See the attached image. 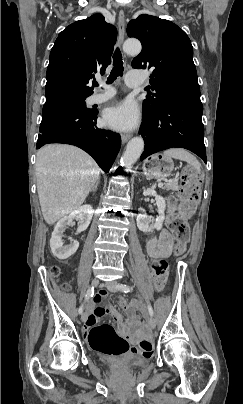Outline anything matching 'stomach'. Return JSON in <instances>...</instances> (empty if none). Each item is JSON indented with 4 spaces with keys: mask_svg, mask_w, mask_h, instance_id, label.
I'll return each mask as SVG.
<instances>
[{
    "mask_svg": "<svg viewBox=\"0 0 243 404\" xmlns=\"http://www.w3.org/2000/svg\"><path fill=\"white\" fill-rule=\"evenodd\" d=\"M142 169L148 178L164 179L172 174L174 163L164 154H154L144 161Z\"/></svg>",
    "mask_w": 243,
    "mask_h": 404,
    "instance_id": "1",
    "label": "stomach"
}]
</instances>
